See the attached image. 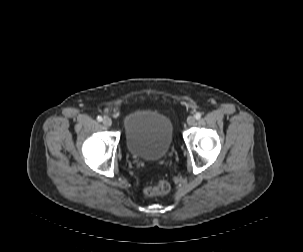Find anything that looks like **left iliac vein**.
<instances>
[{"mask_svg": "<svg viewBox=\"0 0 303 252\" xmlns=\"http://www.w3.org/2000/svg\"><path fill=\"white\" fill-rule=\"evenodd\" d=\"M187 123H188V125L193 126L196 123L195 117L194 116H189L187 118Z\"/></svg>", "mask_w": 303, "mask_h": 252, "instance_id": "left-iliac-vein-1", "label": "left iliac vein"}]
</instances>
